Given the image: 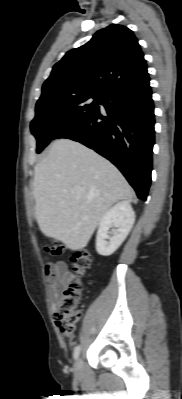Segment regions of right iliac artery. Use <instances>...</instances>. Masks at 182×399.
<instances>
[{"mask_svg":"<svg viewBox=\"0 0 182 399\" xmlns=\"http://www.w3.org/2000/svg\"><path fill=\"white\" fill-rule=\"evenodd\" d=\"M79 354H80V346H77V347L75 348V350H74V353H73L74 359H77L78 356H79Z\"/></svg>","mask_w":182,"mask_h":399,"instance_id":"right-iliac-artery-1","label":"right iliac artery"}]
</instances>
